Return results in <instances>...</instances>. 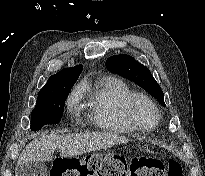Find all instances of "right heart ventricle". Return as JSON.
Returning a JSON list of instances; mask_svg holds the SVG:
<instances>
[{
  "label": "right heart ventricle",
  "mask_w": 205,
  "mask_h": 176,
  "mask_svg": "<svg viewBox=\"0 0 205 176\" xmlns=\"http://www.w3.org/2000/svg\"><path fill=\"white\" fill-rule=\"evenodd\" d=\"M132 89L121 79L105 76L98 79L89 95V115L95 125L112 134H129L135 127L127 120L124 107L133 95Z\"/></svg>",
  "instance_id": "right-heart-ventricle-1"
}]
</instances>
